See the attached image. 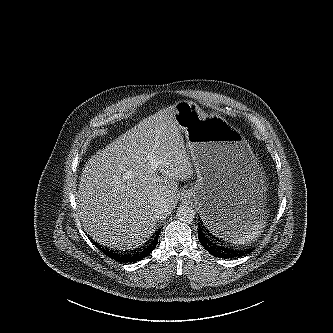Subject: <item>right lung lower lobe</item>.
Here are the masks:
<instances>
[{
	"label": "right lung lower lobe",
	"instance_id": "98d812e1",
	"mask_svg": "<svg viewBox=\"0 0 333 333\" xmlns=\"http://www.w3.org/2000/svg\"><path fill=\"white\" fill-rule=\"evenodd\" d=\"M159 232H156L152 239L150 240V243L147 246H143V250L140 252H137L136 254H127L123 255L122 253H116L115 251L108 250V248H103L100 245L97 246L105 255L108 257L120 261V262H134L139 261L146 256H148L156 247L158 242Z\"/></svg>",
	"mask_w": 333,
	"mask_h": 333
}]
</instances>
